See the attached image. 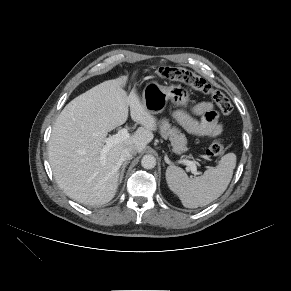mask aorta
I'll return each mask as SVG.
<instances>
[{
    "label": "aorta",
    "mask_w": 291,
    "mask_h": 291,
    "mask_svg": "<svg viewBox=\"0 0 291 291\" xmlns=\"http://www.w3.org/2000/svg\"><path fill=\"white\" fill-rule=\"evenodd\" d=\"M141 165L145 169L154 168L156 165V158L153 155H144L141 159Z\"/></svg>",
    "instance_id": "aorta-1"
}]
</instances>
